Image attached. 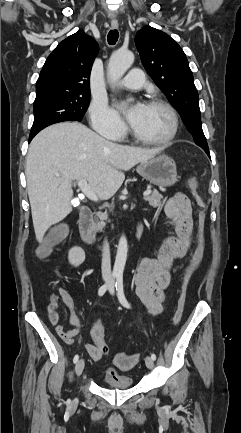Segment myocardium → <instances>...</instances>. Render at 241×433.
<instances>
[{
	"mask_svg": "<svg viewBox=\"0 0 241 433\" xmlns=\"http://www.w3.org/2000/svg\"><path fill=\"white\" fill-rule=\"evenodd\" d=\"M147 106H160L165 108L171 115L172 117V121H173V126H172V130L169 133V135H167L165 138L163 139H159V140H153V139H148L145 138L143 136H141L140 134H138L133 127H131L130 132L131 135L140 143L143 144H147V145H152V146H163V145H167L169 144L177 135L178 130H179V115L176 111V109L167 101L163 100V99H151L146 103Z\"/></svg>",
	"mask_w": 241,
	"mask_h": 433,
	"instance_id": "myocardium-1",
	"label": "myocardium"
}]
</instances>
